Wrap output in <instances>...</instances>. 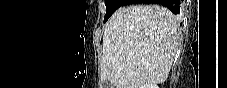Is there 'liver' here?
<instances>
[{
	"instance_id": "obj_1",
	"label": "liver",
	"mask_w": 227,
	"mask_h": 88,
	"mask_svg": "<svg viewBox=\"0 0 227 88\" xmlns=\"http://www.w3.org/2000/svg\"><path fill=\"white\" fill-rule=\"evenodd\" d=\"M179 40L178 18L157 4L119 8L103 36L101 80L115 88L166 81Z\"/></svg>"
}]
</instances>
